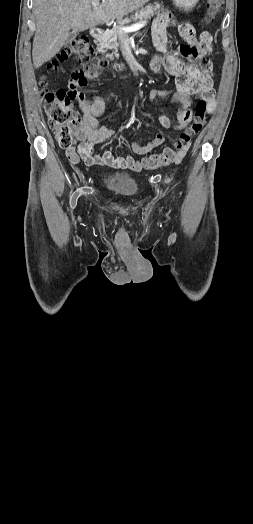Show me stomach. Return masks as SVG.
Segmentation results:
<instances>
[{
    "label": "stomach",
    "instance_id": "0dacf381",
    "mask_svg": "<svg viewBox=\"0 0 253 524\" xmlns=\"http://www.w3.org/2000/svg\"><path fill=\"white\" fill-rule=\"evenodd\" d=\"M173 3L183 10H191L199 2V0H172Z\"/></svg>",
    "mask_w": 253,
    "mask_h": 524
}]
</instances>
